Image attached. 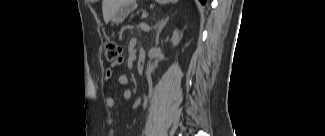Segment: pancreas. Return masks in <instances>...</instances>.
<instances>
[{
    "label": "pancreas",
    "mask_w": 325,
    "mask_h": 136,
    "mask_svg": "<svg viewBox=\"0 0 325 136\" xmlns=\"http://www.w3.org/2000/svg\"><path fill=\"white\" fill-rule=\"evenodd\" d=\"M147 10L145 5H140L139 9L136 10V12L131 13V18L129 19V22L131 24H138L139 19H141V16H146Z\"/></svg>",
    "instance_id": "obj_1"
}]
</instances>
